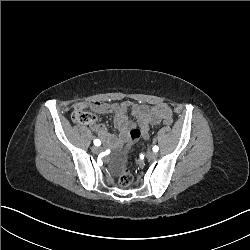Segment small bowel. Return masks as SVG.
I'll return each mask as SVG.
<instances>
[{"mask_svg":"<svg viewBox=\"0 0 250 250\" xmlns=\"http://www.w3.org/2000/svg\"><path fill=\"white\" fill-rule=\"evenodd\" d=\"M129 107L130 104L128 102L122 104L78 102L74 105L75 110L90 109L96 113L113 114L118 136L109 133L104 124L96 122L92 123V129L99 139L111 147H116L118 144L125 143L129 140L130 129L135 126V124L129 120L127 115ZM158 107H165L170 116H172V111L166 103H158L152 106L134 104L132 106V116L136 120L137 126L142 129L141 136L144 139L149 137L151 126L161 123L156 116V109Z\"/></svg>","mask_w":250,"mask_h":250,"instance_id":"1","label":"small bowel"}]
</instances>
